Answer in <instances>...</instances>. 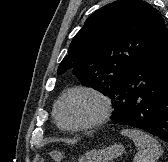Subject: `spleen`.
Listing matches in <instances>:
<instances>
[{"mask_svg": "<svg viewBox=\"0 0 168 162\" xmlns=\"http://www.w3.org/2000/svg\"><path fill=\"white\" fill-rule=\"evenodd\" d=\"M121 134L131 138L139 149L133 162H155L163 153L158 141L141 130L123 129Z\"/></svg>", "mask_w": 168, "mask_h": 162, "instance_id": "obj_1", "label": "spleen"}]
</instances>
